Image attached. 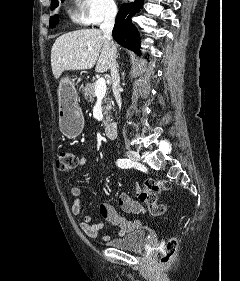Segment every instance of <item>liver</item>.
<instances>
[{"label":"liver","mask_w":240,"mask_h":281,"mask_svg":"<svg viewBox=\"0 0 240 281\" xmlns=\"http://www.w3.org/2000/svg\"><path fill=\"white\" fill-rule=\"evenodd\" d=\"M99 29H81L58 37L51 49V67L58 79L66 70L90 69L96 64V72H106L111 65V49Z\"/></svg>","instance_id":"liver-1"}]
</instances>
